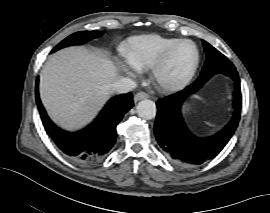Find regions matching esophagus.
<instances>
[{"instance_id":"esophagus-1","label":"esophagus","mask_w":270,"mask_h":213,"mask_svg":"<svg viewBox=\"0 0 270 213\" xmlns=\"http://www.w3.org/2000/svg\"><path fill=\"white\" fill-rule=\"evenodd\" d=\"M149 95L145 92H137L135 95H134V102H138L139 100H142V99H145V98H148Z\"/></svg>"}]
</instances>
